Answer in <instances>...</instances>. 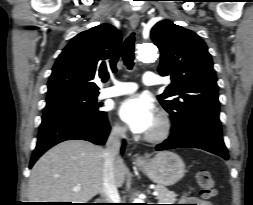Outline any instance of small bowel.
<instances>
[{"instance_id":"small-bowel-1","label":"small bowel","mask_w":253,"mask_h":205,"mask_svg":"<svg viewBox=\"0 0 253 205\" xmlns=\"http://www.w3.org/2000/svg\"><path fill=\"white\" fill-rule=\"evenodd\" d=\"M183 202H191L194 204H186V205H211L210 203L206 201H202L200 199L194 198V197H189V196H184L183 197Z\"/></svg>"}]
</instances>
